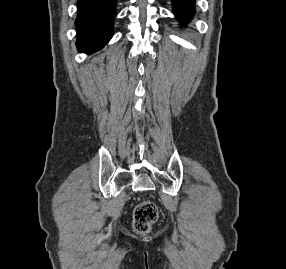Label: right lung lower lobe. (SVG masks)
Instances as JSON below:
<instances>
[{"label": "right lung lower lobe", "instance_id": "98d812e1", "mask_svg": "<svg viewBox=\"0 0 286 269\" xmlns=\"http://www.w3.org/2000/svg\"><path fill=\"white\" fill-rule=\"evenodd\" d=\"M117 0H78L77 48L91 53L102 48L113 36Z\"/></svg>", "mask_w": 286, "mask_h": 269}]
</instances>
